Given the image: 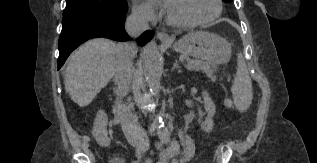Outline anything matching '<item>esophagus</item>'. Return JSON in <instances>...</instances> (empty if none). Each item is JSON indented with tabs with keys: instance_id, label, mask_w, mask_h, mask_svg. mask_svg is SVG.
I'll return each mask as SVG.
<instances>
[{
	"instance_id": "obj_1",
	"label": "esophagus",
	"mask_w": 317,
	"mask_h": 163,
	"mask_svg": "<svg viewBox=\"0 0 317 163\" xmlns=\"http://www.w3.org/2000/svg\"><path fill=\"white\" fill-rule=\"evenodd\" d=\"M156 36L162 42H168L172 40V38L166 32L163 31L157 32Z\"/></svg>"
}]
</instances>
